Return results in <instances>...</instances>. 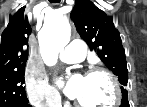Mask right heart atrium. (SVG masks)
<instances>
[{"label":"right heart atrium","instance_id":"d8ad5b80","mask_svg":"<svg viewBox=\"0 0 147 107\" xmlns=\"http://www.w3.org/2000/svg\"><path fill=\"white\" fill-rule=\"evenodd\" d=\"M26 91L30 102L39 107H56L60 104L59 93L49 85L45 74L30 68L26 73Z\"/></svg>","mask_w":147,"mask_h":107}]
</instances>
